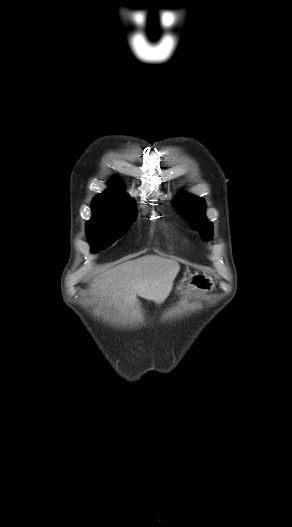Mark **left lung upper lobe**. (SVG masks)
I'll list each match as a JSON object with an SVG mask.
<instances>
[{
    "mask_svg": "<svg viewBox=\"0 0 292 527\" xmlns=\"http://www.w3.org/2000/svg\"><path fill=\"white\" fill-rule=\"evenodd\" d=\"M175 207L200 232L202 238L209 241L212 237V226L205 217L203 201L194 196L180 197L175 200Z\"/></svg>",
    "mask_w": 292,
    "mask_h": 527,
    "instance_id": "5c2ea615",
    "label": "left lung upper lobe"
}]
</instances>
